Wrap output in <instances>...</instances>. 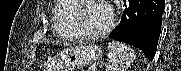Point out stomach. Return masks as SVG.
Instances as JSON below:
<instances>
[{"mask_svg": "<svg viewBox=\"0 0 181 71\" xmlns=\"http://www.w3.org/2000/svg\"><path fill=\"white\" fill-rule=\"evenodd\" d=\"M102 50L94 44L67 48L55 56L49 63L50 71H73L77 68L97 62L102 58Z\"/></svg>", "mask_w": 181, "mask_h": 71, "instance_id": "1", "label": "stomach"}]
</instances>
